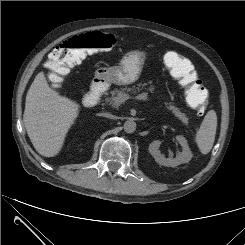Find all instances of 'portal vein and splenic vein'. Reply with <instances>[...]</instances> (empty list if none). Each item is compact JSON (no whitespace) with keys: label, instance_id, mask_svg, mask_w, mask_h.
Here are the masks:
<instances>
[{"label":"portal vein and splenic vein","instance_id":"obj_1","mask_svg":"<svg viewBox=\"0 0 245 245\" xmlns=\"http://www.w3.org/2000/svg\"><path fill=\"white\" fill-rule=\"evenodd\" d=\"M131 97L127 94H121L115 99V104L119 105L124 103L125 101L129 100ZM147 98V93L140 94L136 96L134 99L136 100H143Z\"/></svg>","mask_w":245,"mask_h":245}]
</instances>
